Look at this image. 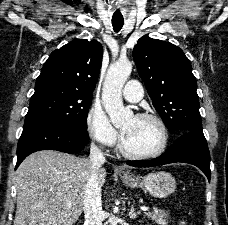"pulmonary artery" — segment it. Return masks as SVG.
I'll use <instances>...</instances> for the list:
<instances>
[{"label":"pulmonary artery","instance_id":"obj_1","mask_svg":"<svg viewBox=\"0 0 228 225\" xmlns=\"http://www.w3.org/2000/svg\"><path fill=\"white\" fill-rule=\"evenodd\" d=\"M142 85H139V81H127L125 89L123 90L124 98L129 102H138L142 95Z\"/></svg>","mask_w":228,"mask_h":225}]
</instances>
